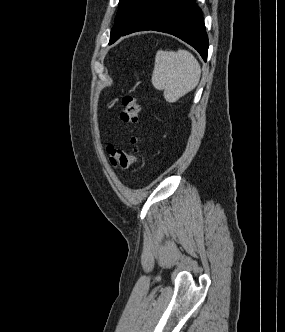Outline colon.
Returning a JSON list of instances; mask_svg holds the SVG:
<instances>
[{
	"label": "colon",
	"instance_id": "obj_1",
	"mask_svg": "<svg viewBox=\"0 0 285 332\" xmlns=\"http://www.w3.org/2000/svg\"><path fill=\"white\" fill-rule=\"evenodd\" d=\"M139 114L140 104L138 98L131 92L125 94L122 98L121 120L127 126L132 127L139 122ZM130 142L132 145L130 150L118 148L113 145L108 146L109 159L115 168L128 169L138 162L140 156V139L134 134L131 136Z\"/></svg>",
	"mask_w": 285,
	"mask_h": 332
}]
</instances>
